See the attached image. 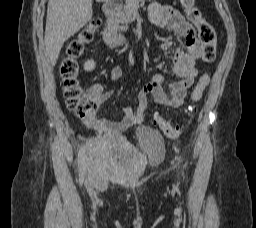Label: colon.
<instances>
[{
	"instance_id": "5ec220e1",
	"label": "colon",
	"mask_w": 256,
	"mask_h": 228,
	"mask_svg": "<svg viewBox=\"0 0 256 228\" xmlns=\"http://www.w3.org/2000/svg\"><path fill=\"white\" fill-rule=\"evenodd\" d=\"M180 4L186 12L189 20L196 26L199 39L202 43V59L204 62H213L216 58L217 35L213 26L201 15L195 5V0H180ZM100 20L94 18L84 27L79 34L72 39L65 49V54L60 62L59 72L61 87L66 104L77 117L81 119L92 118L98 112L100 101L98 96L85 93L79 81V58L84 54L87 46L94 40ZM209 83V75L204 74L191 93L193 109L203 95ZM153 121L169 137L176 138L181 134V128L172 124L159 115L153 117Z\"/></svg>"
}]
</instances>
